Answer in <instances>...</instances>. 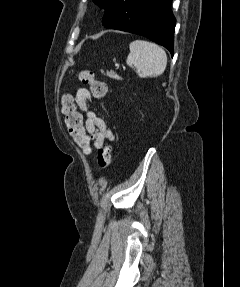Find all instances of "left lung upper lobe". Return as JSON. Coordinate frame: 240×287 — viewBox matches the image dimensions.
<instances>
[{
  "mask_svg": "<svg viewBox=\"0 0 240 287\" xmlns=\"http://www.w3.org/2000/svg\"><path fill=\"white\" fill-rule=\"evenodd\" d=\"M96 5H98L99 7L105 9L107 3L109 2V0H92Z\"/></svg>",
  "mask_w": 240,
  "mask_h": 287,
  "instance_id": "5c2ea615",
  "label": "left lung upper lobe"
}]
</instances>
